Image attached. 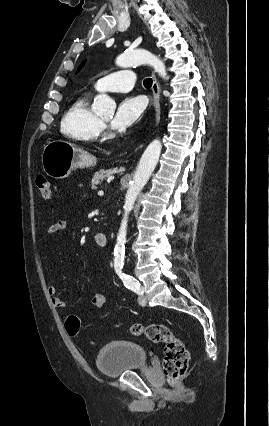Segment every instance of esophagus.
Masks as SVG:
<instances>
[{
	"instance_id": "1",
	"label": "esophagus",
	"mask_w": 269,
	"mask_h": 426,
	"mask_svg": "<svg viewBox=\"0 0 269 426\" xmlns=\"http://www.w3.org/2000/svg\"><path fill=\"white\" fill-rule=\"evenodd\" d=\"M152 92H153V100L152 105L155 110V119L158 121L160 117V88L156 79V75L152 72Z\"/></svg>"
}]
</instances>
